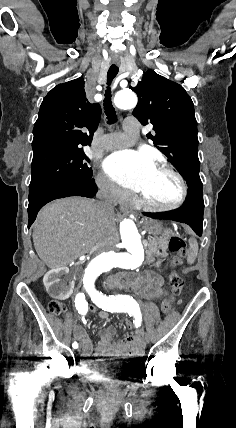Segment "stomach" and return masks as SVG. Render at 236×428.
Listing matches in <instances>:
<instances>
[{
	"instance_id": "0dacf381",
	"label": "stomach",
	"mask_w": 236,
	"mask_h": 428,
	"mask_svg": "<svg viewBox=\"0 0 236 428\" xmlns=\"http://www.w3.org/2000/svg\"><path fill=\"white\" fill-rule=\"evenodd\" d=\"M151 232L152 234H159L160 228H157V226H153V228H151Z\"/></svg>"
}]
</instances>
